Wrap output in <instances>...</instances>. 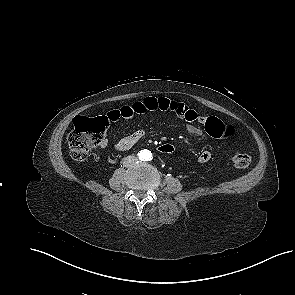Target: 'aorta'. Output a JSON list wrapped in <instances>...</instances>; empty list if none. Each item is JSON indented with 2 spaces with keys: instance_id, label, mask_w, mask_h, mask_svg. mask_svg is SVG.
Returning <instances> with one entry per match:
<instances>
[{
  "instance_id": "1",
  "label": "aorta",
  "mask_w": 295,
  "mask_h": 295,
  "mask_svg": "<svg viewBox=\"0 0 295 295\" xmlns=\"http://www.w3.org/2000/svg\"><path fill=\"white\" fill-rule=\"evenodd\" d=\"M151 158H152V156H151V153H150V152H147V153L145 154V156H144V159H145L146 161L151 160Z\"/></svg>"
}]
</instances>
